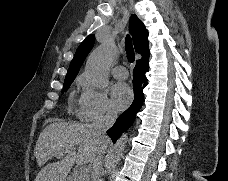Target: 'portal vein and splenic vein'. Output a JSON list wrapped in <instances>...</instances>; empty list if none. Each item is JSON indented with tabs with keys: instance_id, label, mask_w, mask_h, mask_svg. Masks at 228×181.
I'll return each instance as SVG.
<instances>
[{
	"instance_id": "18ae733b",
	"label": "portal vein and splenic vein",
	"mask_w": 228,
	"mask_h": 181,
	"mask_svg": "<svg viewBox=\"0 0 228 181\" xmlns=\"http://www.w3.org/2000/svg\"><path fill=\"white\" fill-rule=\"evenodd\" d=\"M70 151H74V149H70ZM58 159H61V155H58ZM80 177L79 179H84V177H81V175H89L90 169L87 167V165H82L79 169Z\"/></svg>"
}]
</instances>
